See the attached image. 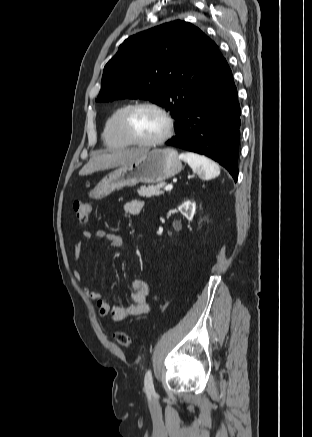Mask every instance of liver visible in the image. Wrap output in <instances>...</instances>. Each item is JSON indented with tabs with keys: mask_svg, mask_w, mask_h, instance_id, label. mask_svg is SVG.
Returning <instances> with one entry per match:
<instances>
[{
	"mask_svg": "<svg viewBox=\"0 0 312 437\" xmlns=\"http://www.w3.org/2000/svg\"><path fill=\"white\" fill-rule=\"evenodd\" d=\"M144 149H129L112 151L110 153L98 152L80 170L79 175L85 176L97 171L107 170L130 163L143 154L147 153Z\"/></svg>",
	"mask_w": 312,
	"mask_h": 437,
	"instance_id": "1",
	"label": "liver"
}]
</instances>
